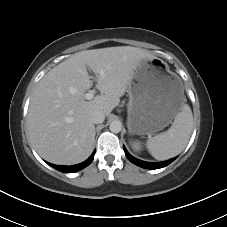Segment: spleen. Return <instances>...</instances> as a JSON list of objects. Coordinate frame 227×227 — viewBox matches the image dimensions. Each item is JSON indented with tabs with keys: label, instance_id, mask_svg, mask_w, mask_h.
<instances>
[{
	"label": "spleen",
	"instance_id": "obj_1",
	"mask_svg": "<svg viewBox=\"0 0 227 227\" xmlns=\"http://www.w3.org/2000/svg\"><path fill=\"white\" fill-rule=\"evenodd\" d=\"M193 129V115L188 104H183L171 127L146 142L150 154L157 160H166L181 153Z\"/></svg>",
	"mask_w": 227,
	"mask_h": 227
}]
</instances>
